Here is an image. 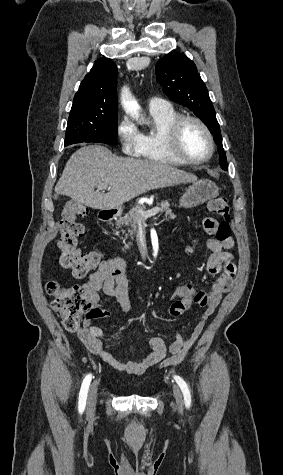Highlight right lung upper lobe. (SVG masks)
Instances as JSON below:
<instances>
[{"instance_id":"right-lung-upper-lobe-1","label":"right lung upper lobe","mask_w":283,"mask_h":475,"mask_svg":"<svg viewBox=\"0 0 283 475\" xmlns=\"http://www.w3.org/2000/svg\"><path fill=\"white\" fill-rule=\"evenodd\" d=\"M117 75V67L112 59L99 58L82 80L73 102L117 105Z\"/></svg>"}]
</instances>
